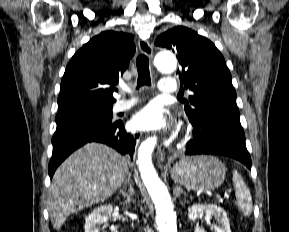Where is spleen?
Masks as SVG:
<instances>
[{
  "instance_id": "spleen-1",
  "label": "spleen",
  "mask_w": 289,
  "mask_h": 232,
  "mask_svg": "<svg viewBox=\"0 0 289 232\" xmlns=\"http://www.w3.org/2000/svg\"><path fill=\"white\" fill-rule=\"evenodd\" d=\"M233 183L237 199L236 203L239 209L244 213V215L250 216L252 213V198L250 190L237 171L233 173Z\"/></svg>"
}]
</instances>
